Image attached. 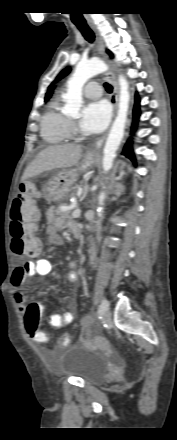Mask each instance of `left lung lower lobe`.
I'll return each instance as SVG.
<instances>
[{"instance_id":"0a47b994","label":"left lung lower lobe","mask_w":177,"mask_h":440,"mask_svg":"<svg viewBox=\"0 0 177 440\" xmlns=\"http://www.w3.org/2000/svg\"><path fill=\"white\" fill-rule=\"evenodd\" d=\"M139 105H140V99L138 97V94L136 93V98H135V106H134V121H133V129L135 128L138 118L140 116V110H139ZM123 155H125L126 157L130 158L132 161L135 162V157L132 151V147H131V141L129 140L127 142V144L124 147L123 150Z\"/></svg>"}]
</instances>
